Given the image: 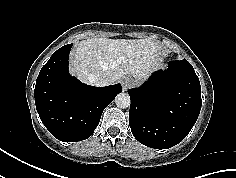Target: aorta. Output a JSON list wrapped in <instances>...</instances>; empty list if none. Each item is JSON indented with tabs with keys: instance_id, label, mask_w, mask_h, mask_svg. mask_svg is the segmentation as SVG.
Here are the masks:
<instances>
[{
	"instance_id": "aorta-1",
	"label": "aorta",
	"mask_w": 236,
	"mask_h": 178,
	"mask_svg": "<svg viewBox=\"0 0 236 178\" xmlns=\"http://www.w3.org/2000/svg\"><path fill=\"white\" fill-rule=\"evenodd\" d=\"M115 103L119 108H128L131 103L130 96L127 93L121 92L115 97Z\"/></svg>"
}]
</instances>
